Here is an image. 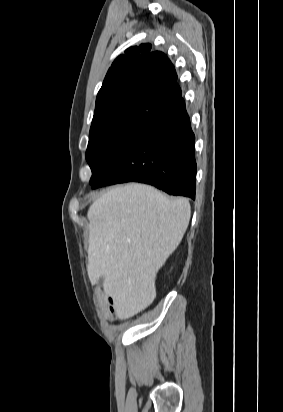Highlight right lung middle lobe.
Segmentation results:
<instances>
[{
    "instance_id": "dd1d6c3e",
    "label": "right lung middle lobe",
    "mask_w": 283,
    "mask_h": 412,
    "mask_svg": "<svg viewBox=\"0 0 283 412\" xmlns=\"http://www.w3.org/2000/svg\"><path fill=\"white\" fill-rule=\"evenodd\" d=\"M162 112L160 109L131 108L93 121L86 150V160L92 171L90 184L98 180Z\"/></svg>"
}]
</instances>
